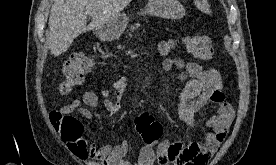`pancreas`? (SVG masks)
Segmentation results:
<instances>
[{"instance_id": "obj_1", "label": "pancreas", "mask_w": 276, "mask_h": 165, "mask_svg": "<svg viewBox=\"0 0 276 165\" xmlns=\"http://www.w3.org/2000/svg\"><path fill=\"white\" fill-rule=\"evenodd\" d=\"M139 26H140V24H139V23H136L134 26H131L130 30H131L132 32H134V30H136ZM130 36H131V34H130Z\"/></svg>"}]
</instances>
